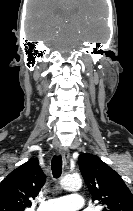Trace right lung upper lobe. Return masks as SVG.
<instances>
[{"instance_id": "cb5924a9", "label": "right lung upper lobe", "mask_w": 133, "mask_h": 211, "mask_svg": "<svg viewBox=\"0 0 133 211\" xmlns=\"http://www.w3.org/2000/svg\"><path fill=\"white\" fill-rule=\"evenodd\" d=\"M46 176L33 158L12 171L0 184V211H24L43 187Z\"/></svg>"}]
</instances>
